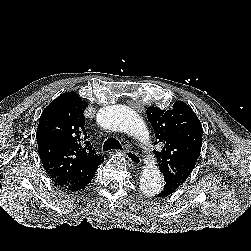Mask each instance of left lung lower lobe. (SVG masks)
Listing matches in <instances>:
<instances>
[{"instance_id":"0a47b994","label":"left lung lower lobe","mask_w":251,"mask_h":251,"mask_svg":"<svg viewBox=\"0 0 251 251\" xmlns=\"http://www.w3.org/2000/svg\"><path fill=\"white\" fill-rule=\"evenodd\" d=\"M178 187H179V186H177V184H175V182L172 181V180L164 181V182H163V187H162V189L156 194V197H158V198L166 197V196L172 194L173 192H175V190H176Z\"/></svg>"}]
</instances>
